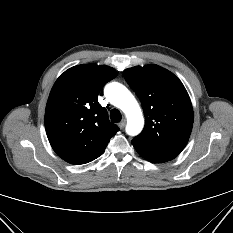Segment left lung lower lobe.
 <instances>
[{"label": "left lung lower lobe", "mask_w": 233, "mask_h": 233, "mask_svg": "<svg viewBox=\"0 0 233 233\" xmlns=\"http://www.w3.org/2000/svg\"><path fill=\"white\" fill-rule=\"evenodd\" d=\"M133 146L136 151L146 160L152 163H162L166 161H170L177 157L183 149L176 148H161L154 147L149 145H144L141 143H137L132 141Z\"/></svg>", "instance_id": "left-lung-lower-lobe-1"}]
</instances>
